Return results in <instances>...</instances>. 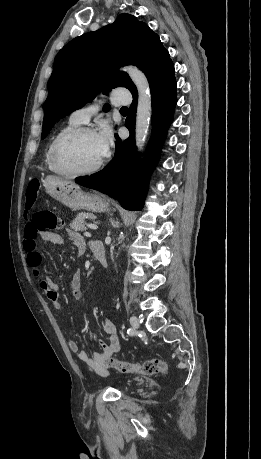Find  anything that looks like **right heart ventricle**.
I'll use <instances>...</instances> for the list:
<instances>
[{
  "label": "right heart ventricle",
  "instance_id": "1",
  "mask_svg": "<svg viewBox=\"0 0 261 459\" xmlns=\"http://www.w3.org/2000/svg\"><path fill=\"white\" fill-rule=\"evenodd\" d=\"M80 124L76 123L75 121H73L71 118L63 125L61 126L59 129H57L54 134L51 136L48 144H47V147H46V150H45V163L48 167V169L54 173H57V171L55 170V168L53 167L52 165V162H51V152H52V147L56 141V139L61 135L63 134L64 132L72 129V128H75V127H78Z\"/></svg>",
  "mask_w": 261,
  "mask_h": 459
}]
</instances>
